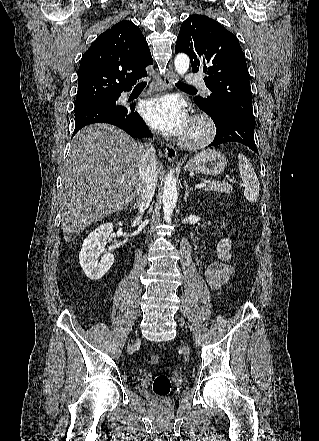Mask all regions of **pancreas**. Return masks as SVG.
<instances>
[{
  "label": "pancreas",
  "instance_id": "obj_1",
  "mask_svg": "<svg viewBox=\"0 0 319 441\" xmlns=\"http://www.w3.org/2000/svg\"><path fill=\"white\" fill-rule=\"evenodd\" d=\"M203 182L208 185L204 186L205 191H214V192H224V193H233V188L228 182H217V181H210V180H203Z\"/></svg>",
  "mask_w": 319,
  "mask_h": 441
}]
</instances>
